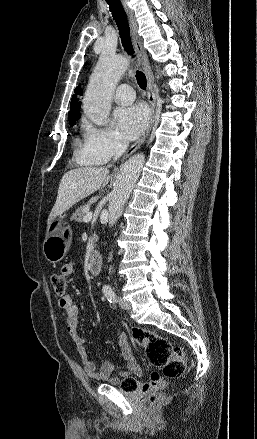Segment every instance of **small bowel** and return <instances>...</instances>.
I'll return each instance as SVG.
<instances>
[{
  "label": "small bowel",
  "mask_w": 257,
  "mask_h": 439,
  "mask_svg": "<svg viewBox=\"0 0 257 439\" xmlns=\"http://www.w3.org/2000/svg\"><path fill=\"white\" fill-rule=\"evenodd\" d=\"M72 273L73 264L71 262L62 266V276L67 277ZM58 305L65 310L66 331L75 344L76 352L82 362L87 376L97 381H103L116 385L119 383L121 384L123 378H128L130 375H141V368L132 354L125 334H120L118 337V347L121 353L124 368L120 371H116V367L113 363L106 362L99 370H97L94 362L87 353L86 341L78 334L79 307L73 302L72 297L69 295L60 298Z\"/></svg>",
  "instance_id": "c3829d8e"
}]
</instances>
